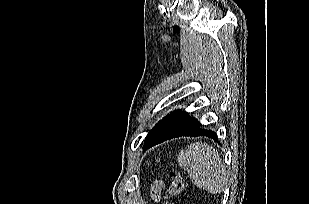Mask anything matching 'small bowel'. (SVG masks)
Instances as JSON below:
<instances>
[{"instance_id":"c3829d8e","label":"small bowel","mask_w":309,"mask_h":204,"mask_svg":"<svg viewBox=\"0 0 309 204\" xmlns=\"http://www.w3.org/2000/svg\"><path fill=\"white\" fill-rule=\"evenodd\" d=\"M165 187V183L163 180H156L152 185H151V188H150V196H151V199L158 203L160 202L161 198H162V191Z\"/></svg>"}]
</instances>
